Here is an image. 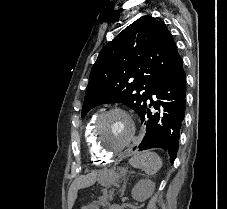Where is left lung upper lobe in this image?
Masks as SVG:
<instances>
[{
    "label": "left lung upper lobe",
    "instance_id": "obj_1",
    "mask_svg": "<svg viewBox=\"0 0 227 209\" xmlns=\"http://www.w3.org/2000/svg\"><path fill=\"white\" fill-rule=\"evenodd\" d=\"M180 58L166 25L143 16L100 52L90 74L82 117L103 103L121 102L141 115L164 74Z\"/></svg>",
    "mask_w": 227,
    "mask_h": 209
}]
</instances>
